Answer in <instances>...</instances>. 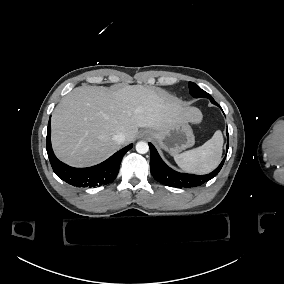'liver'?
Segmentation results:
<instances>
[{"label": "liver", "mask_w": 284, "mask_h": 284, "mask_svg": "<svg viewBox=\"0 0 284 284\" xmlns=\"http://www.w3.org/2000/svg\"><path fill=\"white\" fill-rule=\"evenodd\" d=\"M185 122L200 125L203 115L197 108L184 109L179 102L168 101L162 92L133 85L110 94L100 87L81 86L57 106L52 117V141L60 159L87 166L121 147L113 139L117 133H123L124 144H129L138 128L159 131Z\"/></svg>", "instance_id": "obj_1"}]
</instances>
